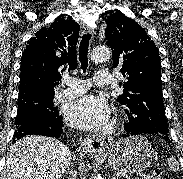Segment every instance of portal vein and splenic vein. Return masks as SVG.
<instances>
[{"label":"portal vein and splenic vein","mask_w":183,"mask_h":179,"mask_svg":"<svg viewBox=\"0 0 183 179\" xmlns=\"http://www.w3.org/2000/svg\"><path fill=\"white\" fill-rule=\"evenodd\" d=\"M148 176H144V179H147Z\"/></svg>","instance_id":"portal-vein-and-splenic-vein-1"}]
</instances>
